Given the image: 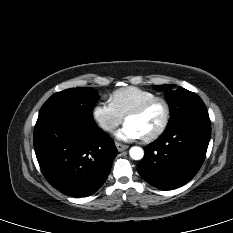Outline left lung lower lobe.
I'll use <instances>...</instances> for the list:
<instances>
[{
  "label": "left lung lower lobe",
  "instance_id": "0a47b994",
  "mask_svg": "<svg viewBox=\"0 0 233 233\" xmlns=\"http://www.w3.org/2000/svg\"><path fill=\"white\" fill-rule=\"evenodd\" d=\"M210 136V120L205 117L167 127L161 137L146 146L138 164L141 177L161 190L186 184L204 162Z\"/></svg>",
  "mask_w": 233,
  "mask_h": 233
}]
</instances>
